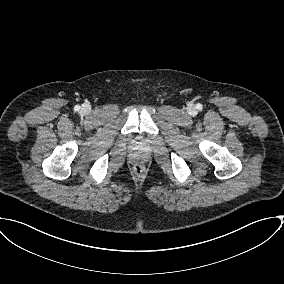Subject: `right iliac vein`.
I'll return each mask as SVG.
<instances>
[{
  "label": "right iliac vein",
  "instance_id": "right-iliac-vein-1",
  "mask_svg": "<svg viewBox=\"0 0 284 284\" xmlns=\"http://www.w3.org/2000/svg\"><path fill=\"white\" fill-rule=\"evenodd\" d=\"M90 109H91V108H90L89 105H85V106L82 108V110H83L85 113L89 112Z\"/></svg>",
  "mask_w": 284,
  "mask_h": 284
}]
</instances>
